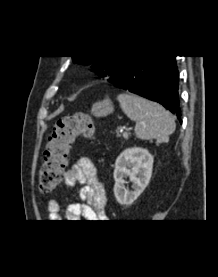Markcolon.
Returning <instances> with one entry per match:
<instances>
[{
    "mask_svg": "<svg viewBox=\"0 0 218 277\" xmlns=\"http://www.w3.org/2000/svg\"><path fill=\"white\" fill-rule=\"evenodd\" d=\"M79 136L97 139L94 120L88 113L77 112L57 120L40 169L39 188L42 192H49L60 183L70 147Z\"/></svg>",
    "mask_w": 218,
    "mask_h": 277,
    "instance_id": "obj_1",
    "label": "colon"
}]
</instances>
